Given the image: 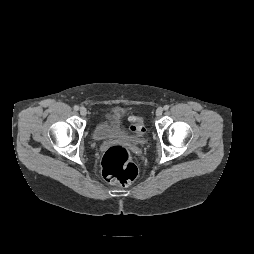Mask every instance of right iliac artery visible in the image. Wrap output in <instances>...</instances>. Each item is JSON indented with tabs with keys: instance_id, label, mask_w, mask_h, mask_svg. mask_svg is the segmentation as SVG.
Wrapping results in <instances>:
<instances>
[{
	"instance_id": "82829eb1",
	"label": "right iliac artery",
	"mask_w": 254,
	"mask_h": 254,
	"mask_svg": "<svg viewBox=\"0 0 254 254\" xmlns=\"http://www.w3.org/2000/svg\"><path fill=\"white\" fill-rule=\"evenodd\" d=\"M74 110H79V107L77 105L74 106Z\"/></svg>"
}]
</instances>
